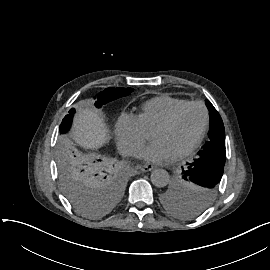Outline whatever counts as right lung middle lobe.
Returning <instances> with one entry per match:
<instances>
[{"mask_svg": "<svg viewBox=\"0 0 270 270\" xmlns=\"http://www.w3.org/2000/svg\"><path fill=\"white\" fill-rule=\"evenodd\" d=\"M132 88H107L100 92L95 106L100 108L115 99L129 95ZM75 109L64 117L60 134L66 133L72 123ZM81 148L71 142L59 140L57 169L61 190L71 206L81 214L97 217L106 213L121 198L124 189V174L119 165L108 155L97 152V157H84Z\"/></svg>", "mask_w": 270, "mask_h": 270, "instance_id": "dd1d6c3e", "label": "right lung middle lobe"}]
</instances>
